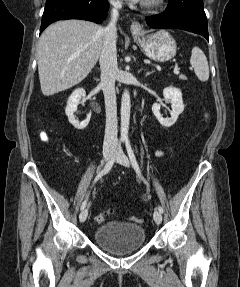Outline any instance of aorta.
<instances>
[{
    "label": "aorta",
    "instance_id": "obj_1",
    "mask_svg": "<svg viewBox=\"0 0 240 287\" xmlns=\"http://www.w3.org/2000/svg\"><path fill=\"white\" fill-rule=\"evenodd\" d=\"M130 109H131V101L130 94L128 90H125L122 94L121 100V139H128V130L130 123Z\"/></svg>",
    "mask_w": 240,
    "mask_h": 287
}]
</instances>
